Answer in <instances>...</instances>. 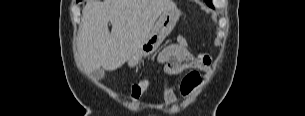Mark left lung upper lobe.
Masks as SVG:
<instances>
[{
    "mask_svg": "<svg viewBox=\"0 0 305 116\" xmlns=\"http://www.w3.org/2000/svg\"><path fill=\"white\" fill-rule=\"evenodd\" d=\"M206 2H207V4H209V5L211 4V0H206Z\"/></svg>",
    "mask_w": 305,
    "mask_h": 116,
    "instance_id": "obj_1",
    "label": "left lung upper lobe"
}]
</instances>
